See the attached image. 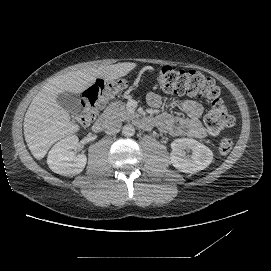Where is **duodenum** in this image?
I'll return each mask as SVG.
<instances>
[{
    "mask_svg": "<svg viewBox=\"0 0 271 271\" xmlns=\"http://www.w3.org/2000/svg\"><path fill=\"white\" fill-rule=\"evenodd\" d=\"M96 132L105 131L107 133H112L116 130L115 123L111 120L108 114H102L94 123L93 126Z\"/></svg>",
    "mask_w": 271,
    "mask_h": 271,
    "instance_id": "duodenum-1",
    "label": "duodenum"
}]
</instances>
